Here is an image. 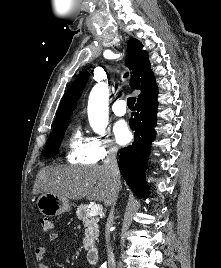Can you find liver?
Returning <instances> with one entry per match:
<instances>
[{
    "label": "liver",
    "instance_id": "obj_1",
    "mask_svg": "<svg viewBox=\"0 0 221 268\" xmlns=\"http://www.w3.org/2000/svg\"><path fill=\"white\" fill-rule=\"evenodd\" d=\"M120 188L119 183L118 192ZM41 193H52L72 200L86 197L103 201L109 206L113 199V185L103 166H48L37 173L34 182L33 194Z\"/></svg>",
    "mask_w": 221,
    "mask_h": 268
}]
</instances>
